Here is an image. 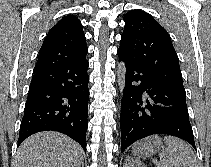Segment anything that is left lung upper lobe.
<instances>
[{
    "instance_id": "5c2ea615",
    "label": "left lung upper lobe",
    "mask_w": 211,
    "mask_h": 167,
    "mask_svg": "<svg viewBox=\"0 0 211 167\" xmlns=\"http://www.w3.org/2000/svg\"><path fill=\"white\" fill-rule=\"evenodd\" d=\"M124 22L119 47L124 56L159 81L185 93L179 59L168 32L139 9L126 13Z\"/></svg>"
}]
</instances>
